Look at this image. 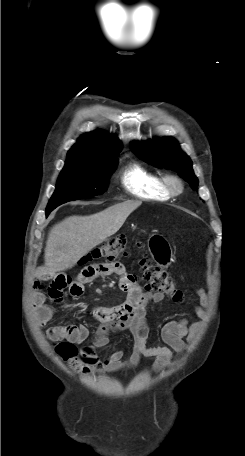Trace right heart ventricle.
Masks as SVG:
<instances>
[{"instance_id":"e07e8e85","label":"right heart ventricle","mask_w":245,"mask_h":456,"mask_svg":"<svg viewBox=\"0 0 245 456\" xmlns=\"http://www.w3.org/2000/svg\"><path fill=\"white\" fill-rule=\"evenodd\" d=\"M120 182L129 194L140 199L165 201L171 197L163 186L162 177L137 163L122 170Z\"/></svg>"}]
</instances>
